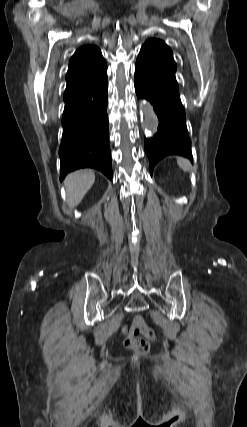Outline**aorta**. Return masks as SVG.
<instances>
[{
  "instance_id": "obj_1",
  "label": "aorta",
  "mask_w": 247,
  "mask_h": 427,
  "mask_svg": "<svg viewBox=\"0 0 247 427\" xmlns=\"http://www.w3.org/2000/svg\"><path fill=\"white\" fill-rule=\"evenodd\" d=\"M141 115V126L147 135H153L157 132L158 120L152 105L147 101L139 103Z\"/></svg>"
}]
</instances>
